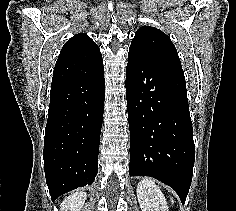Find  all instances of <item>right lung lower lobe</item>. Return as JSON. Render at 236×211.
Returning <instances> with one entry per match:
<instances>
[{"label":"right lung lower lobe","mask_w":236,"mask_h":211,"mask_svg":"<svg viewBox=\"0 0 236 211\" xmlns=\"http://www.w3.org/2000/svg\"><path fill=\"white\" fill-rule=\"evenodd\" d=\"M104 98V69L51 86L43 156L52 201L95 180Z\"/></svg>","instance_id":"obj_1"}]
</instances>
